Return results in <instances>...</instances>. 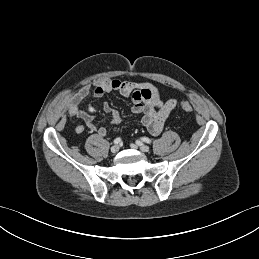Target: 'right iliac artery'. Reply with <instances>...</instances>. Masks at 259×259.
I'll use <instances>...</instances> for the list:
<instances>
[{
  "label": "right iliac artery",
  "mask_w": 259,
  "mask_h": 259,
  "mask_svg": "<svg viewBox=\"0 0 259 259\" xmlns=\"http://www.w3.org/2000/svg\"><path fill=\"white\" fill-rule=\"evenodd\" d=\"M121 143V138H116L115 140H114V144H120Z\"/></svg>",
  "instance_id": "82829eb1"
}]
</instances>
